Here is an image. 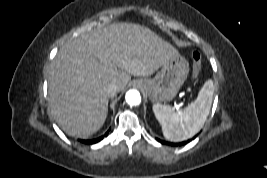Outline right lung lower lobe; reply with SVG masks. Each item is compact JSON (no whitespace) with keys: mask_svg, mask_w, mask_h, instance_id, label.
Returning <instances> with one entry per match:
<instances>
[{"mask_svg":"<svg viewBox=\"0 0 267 178\" xmlns=\"http://www.w3.org/2000/svg\"><path fill=\"white\" fill-rule=\"evenodd\" d=\"M107 134H108V132H107L105 135H107ZM102 139H103V136L100 137V138L94 139V140H83L82 142H83V143H87V144H93V143H97V142H99V141L102 140Z\"/></svg>","mask_w":267,"mask_h":178,"instance_id":"98d812e1","label":"right lung lower lobe"}]
</instances>
